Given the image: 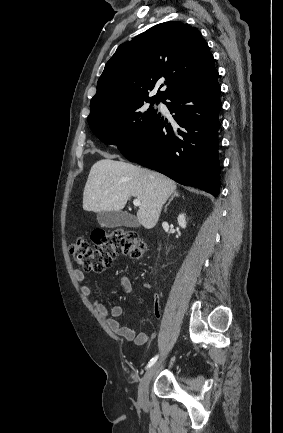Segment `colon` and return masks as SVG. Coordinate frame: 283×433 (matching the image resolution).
Returning a JSON list of instances; mask_svg holds the SVG:
<instances>
[{
  "mask_svg": "<svg viewBox=\"0 0 283 433\" xmlns=\"http://www.w3.org/2000/svg\"><path fill=\"white\" fill-rule=\"evenodd\" d=\"M92 241L93 246L84 237H79L70 246L71 255L85 271L102 272L112 266L117 255L139 259L146 250L145 242L136 232L124 229L94 233Z\"/></svg>",
  "mask_w": 283,
  "mask_h": 433,
  "instance_id": "obj_1",
  "label": "colon"
}]
</instances>
